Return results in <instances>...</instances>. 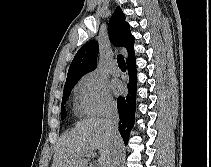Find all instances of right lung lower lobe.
I'll list each match as a JSON object with an SVG mask.
<instances>
[{
    "label": "right lung lower lobe",
    "instance_id": "right-lung-lower-lobe-1",
    "mask_svg": "<svg viewBox=\"0 0 211 167\" xmlns=\"http://www.w3.org/2000/svg\"><path fill=\"white\" fill-rule=\"evenodd\" d=\"M129 83L128 95L126 97H118L117 108L120 117L119 131L125 144H128L130 131L134 124L135 101H136V85L137 70L135 58L127 62Z\"/></svg>",
    "mask_w": 211,
    "mask_h": 167
}]
</instances>
